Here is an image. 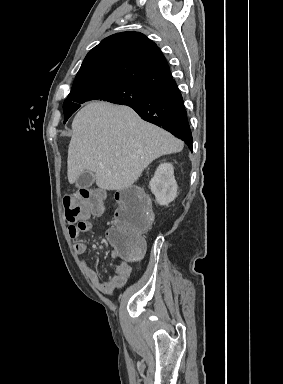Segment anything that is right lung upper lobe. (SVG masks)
<instances>
[{
	"label": "right lung upper lobe",
	"mask_w": 283,
	"mask_h": 384,
	"mask_svg": "<svg viewBox=\"0 0 283 384\" xmlns=\"http://www.w3.org/2000/svg\"><path fill=\"white\" fill-rule=\"evenodd\" d=\"M172 78L153 41L139 32H122L105 38L86 55L72 89L114 82L152 91Z\"/></svg>",
	"instance_id": "1"
}]
</instances>
